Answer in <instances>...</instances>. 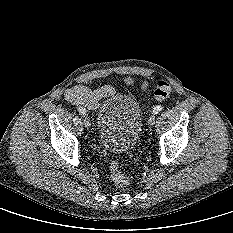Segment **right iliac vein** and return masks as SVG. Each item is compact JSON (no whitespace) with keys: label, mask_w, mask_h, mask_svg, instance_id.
Instances as JSON below:
<instances>
[{"label":"right iliac vein","mask_w":233,"mask_h":233,"mask_svg":"<svg viewBox=\"0 0 233 233\" xmlns=\"http://www.w3.org/2000/svg\"><path fill=\"white\" fill-rule=\"evenodd\" d=\"M83 121H84V124L87 128H89L91 126L90 120L87 116H83Z\"/></svg>","instance_id":"63e3f726"}]
</instances>
